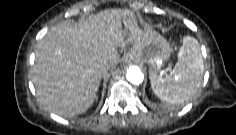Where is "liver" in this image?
<instances>
[{"label":"liver","instance_id":"6515ba94","mask_svg":"<svg viewBox=\"0 0 236 135\" xmlns=\"http://www.w3.org/2000/svg\"><path fill=\"white\" fill-rule=\"evenodd\" d=\"M144 35L125 9L101 11L78 25L52 27L36 46L32 68L40 104L64 117L85 112L111 64L120 61L118 47L139 50Z\"/></svg>","mask_w":236,"mask_h":135}]
</instances>
